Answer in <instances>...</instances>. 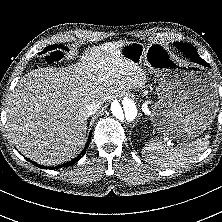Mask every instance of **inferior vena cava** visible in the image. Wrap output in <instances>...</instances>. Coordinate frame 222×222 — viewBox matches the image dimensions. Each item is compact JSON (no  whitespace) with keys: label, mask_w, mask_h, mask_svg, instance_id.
<instances>
[{"label":"inferior vena cava","mask_w":222,"mask_h":222,"mask_svg":"<svg viewBox=\"0 0 222 222\" xmlns=\"http://www.w3.org/2000/svg\"><path fill=\"white\" fill-rule=\"evenodd\" d=\"M101 107L100 103H89L85 106V114L87 116L93 115Z\"/></svg>","instance_id":"1"}]
</instances>
